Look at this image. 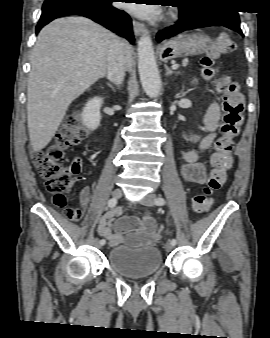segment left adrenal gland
<instances>
[{"label": "left adrenal gland", "instance_id": "1", "mask_svg": "<svg viewBox=\"0 0 270 338\" xmlns=\"http://www.w3.org/2000/svg\"><path fill=\"white\" fill-rule=\"evenodd\" d=\"M165 69H166V76H169L174 73V71L171 70L166 64H165Z\"/></svg>", "mask_w": 270, "mask_h": 338}]
</instances>
